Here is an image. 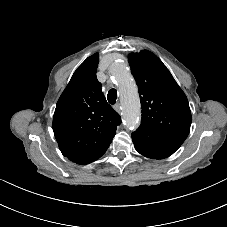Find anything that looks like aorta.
Returning <instances> with one entry per match:
<instances>
[{
	"label": "aorta",
	"mask_w": 227,
	"mask_h": 227,
	"mask_svg": "<svg viewBox=\"0 0 227 227\" xmlns=\"http://www.w3.org/2000/svg\"><path fill=\"white\" fill-rule=\"evenodd\" d=\"M110 73L121 88L123 120L127 127L136 128L140 122V104L127 65L123 61H114L110 66Z\"/></svg>",
	"instance_id": "762f6f07"
}]
</instances>
